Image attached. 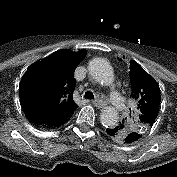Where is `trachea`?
<instances>
[{"label":"trachea","mask_w":177,"mask_h":177,"mask_svg":"<svg viewBox=\"0 0 177 177\" xmlns=\"http://www.w3.org/2000/svg\"><path fill=\"white\" fill-rule=\"evenodd\" d=\"M85 98L87 99H94V95L91 91H87L84 95Z\"/></svg>","instance_id":"obj_1"}]
</instances>
